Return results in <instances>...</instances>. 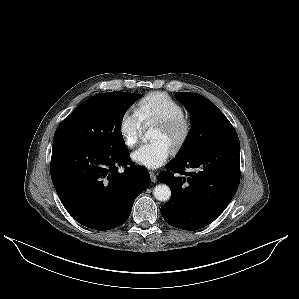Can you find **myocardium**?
I'll list each match as a JSON object with an SVG mask.
<instances>
[{
    "label": "myocardium",
    "mask_w": 299,
    "mask_h": 299,
    "mask_svg": "<svg viewBox=\"0 0 299 299\" xmlns=\"http://www.w3.org/2000/svg\"><path fill=\"white\" fill-rule=\"evenodd\" d=\"M157 126L168 133L178 134L171 146L173 152L180 151L187 144L192 133V122L185 116L159 122Z\"/></svg>",
    "instance_id": "obj_1"
}]
</instances>
